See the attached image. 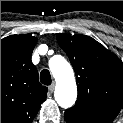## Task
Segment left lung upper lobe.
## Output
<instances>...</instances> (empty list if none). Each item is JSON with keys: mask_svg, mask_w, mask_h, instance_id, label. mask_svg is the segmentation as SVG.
Returning <instances> with one entry per match:
<instances>
[{"mask_svg": "<svg viewBox=\"0 0 123 123\" xmlns=\"http://www.w3.org/2000/svg\"><path fill=\"white\" fill-rule=\"evenodd\" d=\"M57 40L74 67L78 97L75 105L115 118L123 105V63L86 35L58 34Z\"/></svg>", "mask_w": 123, "mask_h": 123, "instance_id": "1", "label": "left lung upper lobe"}]
</instances>
